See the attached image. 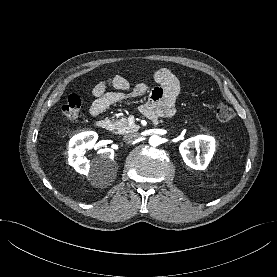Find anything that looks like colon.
<instances>
[{"instance_id": "1", "label": "colon", "mask_w": 277, "mask_h": 277, "mask_svg": "<svg viewBox=\"0 0 277 277\" xmlns=\"http://www.w3.org/2000/svg\"><path fill=\"white\" fill-rule=\"evenodd\" d=\"M81 105V98L77 94H71L62 106V113L68 119H76L80 114ZM214 113L217 119L223 123L231 121L234 117L233 109L223 100H218L215 103Z\"/></svg>"}]
</instances>
